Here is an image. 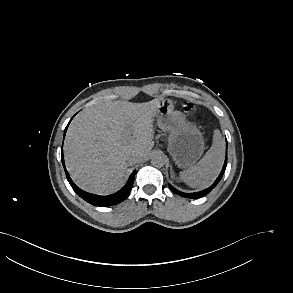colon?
<instances>
[{
	"label": "colon",
	"mask_w": 293,
	"mask_h": 293,
	"mask_svg": "<svg viewBox=\"0 0 293 293\" xmlns=\"http://www.w3.org/2000/svg\"><path fill=\"white\" fill-rule=\"evenodd\" d=\"M184 110L186 112H191V111H193V106L192 105H184Z\"/></svg>",
	"instance_id": "1"
}]
</instances>
